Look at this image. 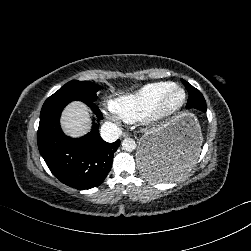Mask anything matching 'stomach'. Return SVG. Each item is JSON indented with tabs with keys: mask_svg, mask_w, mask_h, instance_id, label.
I'll return each instance as SVG.
<instances>
[{
	"mask_svg": "<svg viewBox=\"0 0 251 251\" xmlns=\"http://www.w3.org/2000/svg\"><path fill=\"white\" fill-rule=\"evenodd\" d=\"M202 141L197 117L181 112L161 130L140 138L138 166L148 178L179 179L199 161Z\"/></svg>",
	"mask_w": 251,
	"mask_h": 251,
	"instance_id": "stomach-1",
	"label": "stomach"
}]
</instances>
